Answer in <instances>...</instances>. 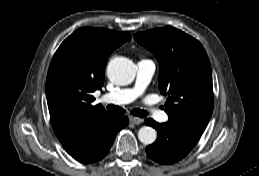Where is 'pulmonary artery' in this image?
Masks as SVG:
<instances>
[{"label": "pulmonary artery", "instance_id": "1", "mask_svg": "<svg viewBox=\"0 0 259 176\" xmlns=\"http://www.w3.org/2000/svg\"><path fill=\"white\" fill-rule=\"evenodd\" d=\"M154 72V62L150 59H141L137 63V74L134 86L105 94L101 100L114 105H125L133 102L145 92ZM147 111L159 121L166 122L168 120V116L156 108H149Z\"/></svg>", "mask_w": 259, "mask_h": 176}]
</instances>
